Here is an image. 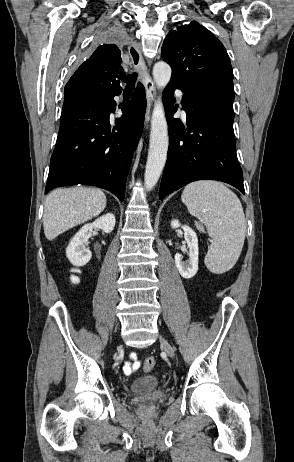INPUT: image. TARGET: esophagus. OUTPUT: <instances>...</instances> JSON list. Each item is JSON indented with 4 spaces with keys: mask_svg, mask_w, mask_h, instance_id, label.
<instances>
[{
    "mask_svg": "<svg viewBox=\"0 0 294 462\" xmlns=\"http://www.w3.org/2000/svg\"><path fill=\"white\" fill-rule=\"evenodd\" d=\"M129 55L131 57V62L135 69L138 70L140 74L141 82L143 83L145 90H146V99H147V111H146V125L149 122V115L151 111V107L155 100L156 90L154 82L148 72L146 63L144 61L141 45L137 42H133L129 49Z\"/></svg>",
    "mask_w": 294,
    "mask_h": 462,
    "instance_id": "1",
    "label": "esophagus"
}]
</instances>
